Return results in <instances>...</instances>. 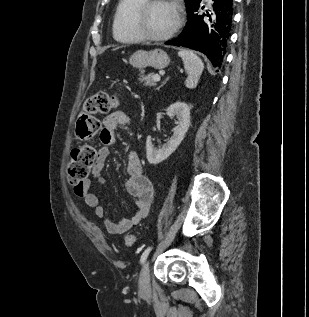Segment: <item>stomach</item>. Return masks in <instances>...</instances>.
<instances>
[{
  "label": "stomach",
  "instance_id": "1",
  "mask_svg": "<svg viewBox=\"0 0 309 317\" xmlns=\"http://www.w3.org/2000/svg\"><path fill=\"white\" fill-rule=\"evenodd\" d=\"M129 63L137 69H144L146 67L163 69L169 65L170 58L161 49L151 51L138 50L129 57Z\"/></svg>",
  "mask_w": 309,
  "mask_h": 317
}]
</instances>
